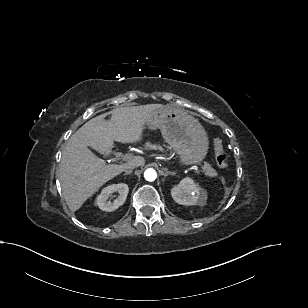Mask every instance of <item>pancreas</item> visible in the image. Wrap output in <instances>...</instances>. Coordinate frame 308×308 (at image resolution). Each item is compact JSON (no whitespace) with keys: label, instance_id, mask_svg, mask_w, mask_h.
<instances>
[{"label":"pancreas","instance_id":"obj_1","mask_svg":"<svg viewBox=\"0 0 308 308\" xmlns=\"http://www.w3.org/2000/svg\"><path fill=\"white\" fill-rule=\"evenodd\" d=\"M145 148H146V149H159L160 147H159L158 145L151 144V143L147 142V143L145 144ZM205 169L211 170L210 165H209V164H206V165H205Z\"/></svg>","mask_w":308,"mask_h":308}]
</instances>
